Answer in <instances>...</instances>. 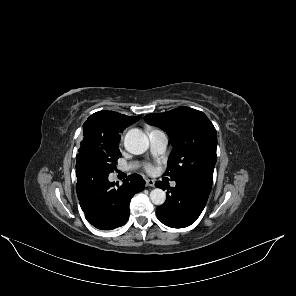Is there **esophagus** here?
<instances>
[{
    "label": "esophagus",
    "mask_w": 296,
    "mask_h": 296,
    "mask_svg": "<svg viewBox=\"0 0 296 296\" xmlns=\"http://www.w3.org/2000/svg\"><path fill=\"white\" fill-rule=\"evenodd\" d=\"M146 185H147V186H150V187H154V185H155V181L152 180V179H147V180H146Z\"/></svg>",
    "instance_id": "obj_1"
}]
</instances>
